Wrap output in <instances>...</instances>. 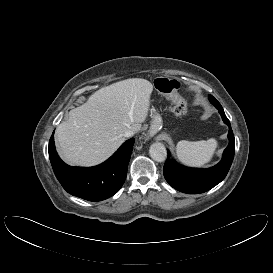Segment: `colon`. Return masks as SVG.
<instances>
[{"label": "colon", "mask_w": 273, "mask_h": 273, "mask_svg": "<svg viewBox=\"0 0 273 273\" xmlns=\"http://www.w3.org/2000/svg\"><path fill=\"white\" fill-rule=\"evenodd\" d=\"M155 86L160 92L165 93V94H170V93L178 90L180 87V84L176 80H172V79H168V78H158L155 81ZM175 112L178 115L185 114L186 113V106L183 104L177 105L175 108Z\"/></svg>", "instance_id": "1"}]
</instances>
